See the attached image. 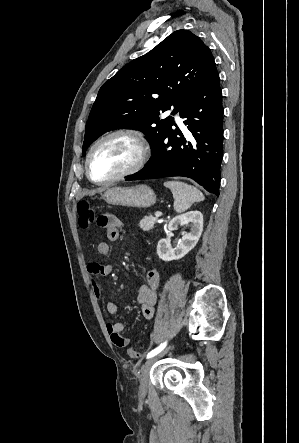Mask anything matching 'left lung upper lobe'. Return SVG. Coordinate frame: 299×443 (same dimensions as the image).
<instances>
[{
    "label": "left lung upper lobe",
    "mask_w": 299,
    "mask_h": 443,
    "mask_svg": "<svg viewBox=\"0 0 299 443\" xmlns=\"http://www.w3.org/2000/svg\"><path fill=\"white\" fill-rule=\"evenodd\" d=\"M215 68L210 49L186 30L169 35L147 54L134 59L100 88L86 123L83 156L103 133L128 127L142 131L152 152L174 119H160V112L185 101L207 80Z\"/></svg>",
    "instance_id": "1"
}]
</instances>
